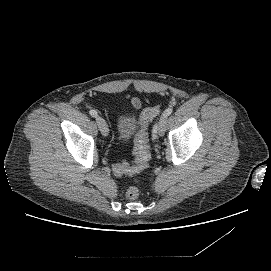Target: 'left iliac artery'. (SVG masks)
Returning a JSON list of instances; mask_svg holds the SVG:
<instances>
[{"instance_id": "left-iliac-artery-1", "label": "left iliac artery", "mask_w": 271, "mask_h": 271, "mask_svg": "<svg viewBox=\"0 0 271 271\" xmlns=\"http://www.w3.org/2000/svg\"><path fill=\"white\" fill-rule=\"evenodd\" d=\"M172 112H173V109L171 107H169L163 112L162 117H168ZM157 131H158V126H157V124H155L153 131H152V133H153L152 138L153 139H156Z\"/></svg>"}]
</instances>
